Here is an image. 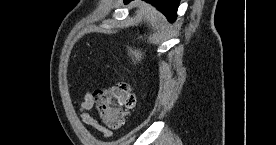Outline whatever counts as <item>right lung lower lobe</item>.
<instances>
[{
  "label": "right lung lower lobe",
  "instance_id": "right-lung-lower-lobe-1",
  "mask_svg": "<svg viewBox=\"0 0 276 145\" xmlns=\"http://www.w3.org/2000/svg\"><path fill=\"white\" fill-rule=\"evenodd\" d=\"M131 0H124L125 3H129ZM151 3L159 11H161L170 22H174L177 15V8L179 0H145Z\"/></svg>",
  "mask_w": 276,
  "mask_h": 145
}]
</instances>
